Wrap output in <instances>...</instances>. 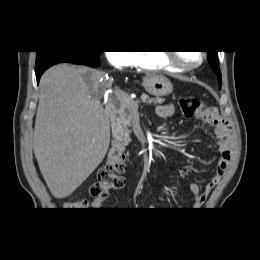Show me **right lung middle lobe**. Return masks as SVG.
Here are the masks:
<instances>
[{
	"instance_id": "1",
	"label": "right lung middle lobe",
	"mask_w": 260,
	"mask_h": 260,
	"mask_svg": "<svg viewBox=\"0 0 260 260\" xmlns=\"http://www.w3.org/2000/svg\"><path fill=\"white\" fill-rule=\"evenodd\" d=\"M63 54H72L77 56H87L92 57L95 59L100 58L99 51H38L36 57V67H39L41 64L45 63L46 61L50 60L51 58L63 55Z\"/></svg>"
}]
</instances>
